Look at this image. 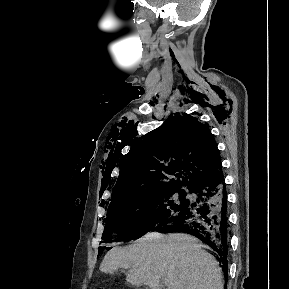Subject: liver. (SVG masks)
<instances>
[{"instance_id": "6515ba94", "label": "liver", "mask_w": 289, "mask_h": 289, "mask_svg": "<svg viewBox=\"0 0 289 289\" xmlns=\"http://www.w3.org/2000/svg\"><path fill=\"white\" fill-rule=\"evenodd\" d=\"M128 269L126 281L150 289H223L216 259L187 234L148 233L126 248H113L100 271Z\"/></svg>"}]
</instances>
